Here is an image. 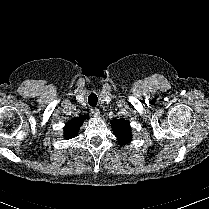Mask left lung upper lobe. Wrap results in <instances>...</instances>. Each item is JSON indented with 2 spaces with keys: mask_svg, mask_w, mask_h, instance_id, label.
<instances>
[{
  "mask_svg": "<svg viewBox=\"0 0 209 209\" xmlns=\"http://www.w3.org/2000/svg\"><path fill=\"white\" fill-rule=\"evenodd\" d=\"M114 135L122 145L129 143L132 140L131 129L128 121L124 119H115L110 122Z\"/></svg>",
  "mask_w": 209,
  "mask_h": 209,
  "instance_id": "1",
  "label": "left lung upper lobe"
}]
</instances>
